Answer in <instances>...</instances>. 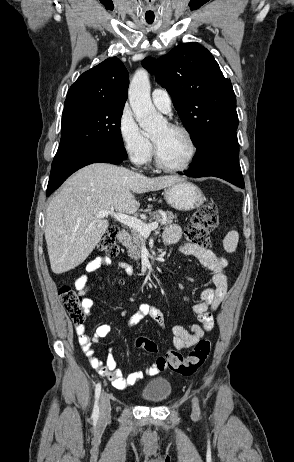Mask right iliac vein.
Instances as JSON below:
<instances>
[{
	"label": "right iliac vein",
	"instance_id": "obj_1",
	"mask_svg": "<svg viewBox=\"0 0 294 462\" xmlns=\"http://www.w3.org/2000/svg\"><path fill=\"white\" fill-rule=\"evenodd\" d=\"M111 414V404H110V397L108 393L103 392L100 398V415L99 419L101 422H105L110 418Z\"/></svg>",
	"mask_w": 294,
	"mask_h": 462
}]
</instances>
